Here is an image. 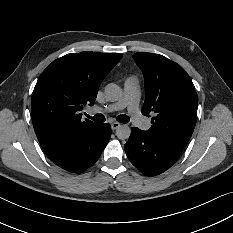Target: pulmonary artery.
<instances>
[{"instance_id": "1", "label": "pulmonary artery", "mask_w": 233, "mask_h": 233, "mask_svg": "<svg viewBox=\"0 0 233 233\" xmlns=\"http://www.w3.org/2000/svg\"><path fill=\"white\" fill-rule=\"evenodd\" d=\"M140 88L139 82L135 78H129L124 82L123 98L119 102L106 107V111L113 112L127 108L131 113L129 119L132 123L137 124L139 129L146 132L150 129L151 124L148 119L139 113ZM103 109L94 108L93 113L101 112Z\"/></svg>"}]
</instances>
